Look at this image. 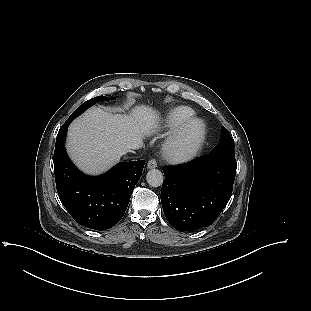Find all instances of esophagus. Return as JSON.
Returning <instances> with one entry per match:
<instances>
[{
    "mask_svg": "<svg viewBox=\"0 0 311 311\" xmlns=\"http://www.w3.org/2000/svg\"><path fill=\"white\" fill-rule=\"evenodd\" d=\"M157 167V162L155 159H151L148 161L147 163V168L148 169H153V168H156Z\"/></svg>",
    "mask_w": 311,
    "mask_h": 311,
    "instance_id": "obj_1",
    "label": "esophagus"
}]
</instances>
